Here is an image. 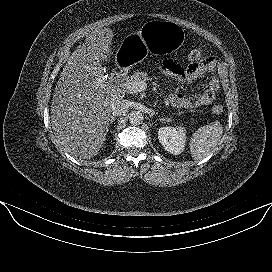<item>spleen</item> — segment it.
<instances>
[{
	"instance_id": "3e777b00",
	"label": "spleen",
	"mask_w": 272,
	"mask_h": 272,
	"mask_svg": "<svg viewBox=\"0 0 272 272\" xmlns=\"http://www.w3.org/2000/svg\"><path fill=\"white\" fill-rule=\"evenodd\" d=\"M223 134L222 125L215 121L200 127L193 134L190 142V152L194 160H201L213 153Z\"/></svg>"
}]
</instances>
